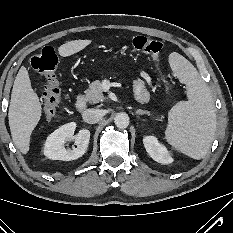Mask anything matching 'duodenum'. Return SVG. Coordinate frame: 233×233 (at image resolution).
<instances>
[{"mask_svg": "<svg viewBox=\"0 0 233 233\" xmlns=\"http://www.w3.org/2000/svg\"><path fill=\"white\" fill-rule=\"evenodd\" d=\"M75 107L79 112H83L86 109V101L82 93L77 95Z\"/></svg>", "mask_w": 233, "mask_h": 233, "instance_id": "duodenum-1", "label": "duodenum"}]
</instances>
